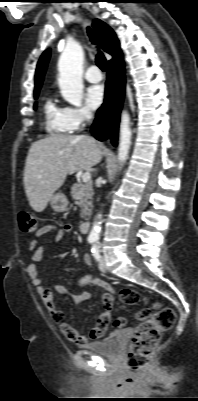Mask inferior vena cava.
<instances>
[{
	"label": "inferior vena cava",
	"mask_w": 198,
	"mask_h": 401,
	"mask_svg": "<svg viewBox=\"0 0 198 401\" xmlns=\"http://www.w3.org/2000/svg\"><path fill=\"white\" fill-rule=\"evenodd\" d=\"M92 115L91 112L89 110L85 111V118L89 121L91 119Z\"/></svg>",
	"instance_id": "1"
}]
</instances>
